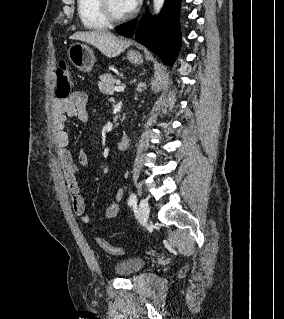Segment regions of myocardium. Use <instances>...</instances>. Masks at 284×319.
<instances>
[{"instance_id":"f54148a6","label":"myocardium","mask_w":284,"mask_h":319,"mask_svg":"<svg viewBox=\"0 0 284 319\" xmlns=\"http://www.w3.org/2000/svg\"><path fill=\"white\" fill-rule=\"evenodd\" d=\"M100 7L106 19L111 23H120L132 16L131 12L125 15H116L111 8L110 0H100Z\"/></svg>"}]
</instances>
